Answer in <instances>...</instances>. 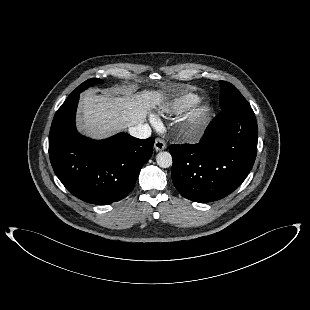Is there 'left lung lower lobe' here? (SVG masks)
I'll use <instances>...</instances> for the list:
<instances>
[{"label": "left lung lower lobe", "mask_w": 310, "mask_h": 310, "mask_svg": "<svg viewBox=\"0 0 310 310\" xmlns=\"http://www.w3.org/2000/svg\"><path fill=\"white\" fill-rule=\"evenodd\" d=\"M172 181L180 194L205 203L224 198L244 181L257 153V123L249 104L222 110L197 144H173Z\"/></svg>", "instance_id": "obj_1"}]
</instances>
